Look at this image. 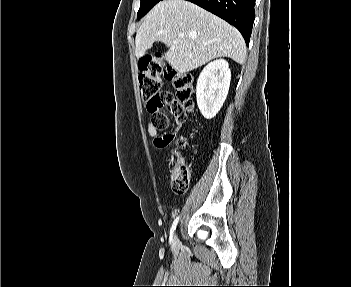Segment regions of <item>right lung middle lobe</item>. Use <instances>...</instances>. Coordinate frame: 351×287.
I'll list each match as a JSON object with an SVG mask.
<instances>
[{
  "label": "right lung middle lobe",
  "instance_id": "dd1d6c3e",
  "mask_svg": "<svg viewBox=\"0 0 351 287\" xmlns=\"http://www.w3.org/2000/svg\"><path fill=\"white\" fill-rule=\"evenodd\" d=\"M160 0H141L140 9L137 13V19L147 14Z\"/></svg>",
  "mask_w": 351,
  "mask_h": 287
}]
</instances>
